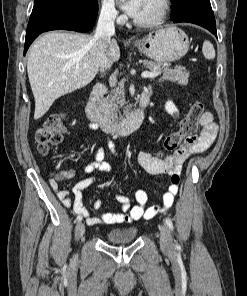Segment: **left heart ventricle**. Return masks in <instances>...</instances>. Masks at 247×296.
Wrapping results in <instances>:
<instances>
[{
    "mask_svg": "<svg viewBox=\"0 0 247 296\" xmlns=\"http://www.w3.org/2000/svg\"><path fill=\"white\" fill-rule=\"evenodd\" d=\"M159 0H144L139 14L135 17L140 21H148L155 17L159 11Z\"/></svg>",
    "mask_w": 247,
    "mask_h": 296,
    "instance_id": "1",
    "label": "left heart ventricle"
}]
</instances>
